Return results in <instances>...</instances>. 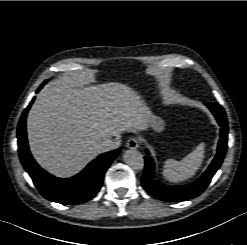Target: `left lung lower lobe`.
<instances>
[{"instance_id":"1","label":"left lung lower lobe","mask_w":247,"mask_h":245,"mask_svg":"<svg viewBox=\"0 0 247 245\" xmlns=\"http://www.w3.org/2000/svg\"><path fill=\"white\" fill-rule=\"evenodd\" d=\"M205 105L211 110L221 126L215 158L204 174L195 182L184 186H165L156 184L152 180L155 164L149 151L146 150L147 156H145V168L141 183L143 188L153 197L166 202H178L195 198L207 188L212 177L221 166L227 150L228 123L226 114L224 109L216 103H206Z\"/></svg>"}]
</instances>
